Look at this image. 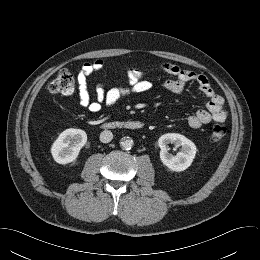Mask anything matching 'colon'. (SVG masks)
<instances>
[{"label": "colon", "instance_id": "colon-1", "mask_svg": "<svg viewBox=\"0 0 260 260\" xmlns=\"http://www.w3.org/2000/svg\"><path fill=\"white\" fill-rule=\"evenodd\" d=\"M49 92L53 94L70 95L75 90V77L68 70H61L48 85ZM227 133V128L223 124H214L210 129L211 138L219 141Z\"/></svg>", "mask_w": 260, "mask_h": 260}]
</instances>
